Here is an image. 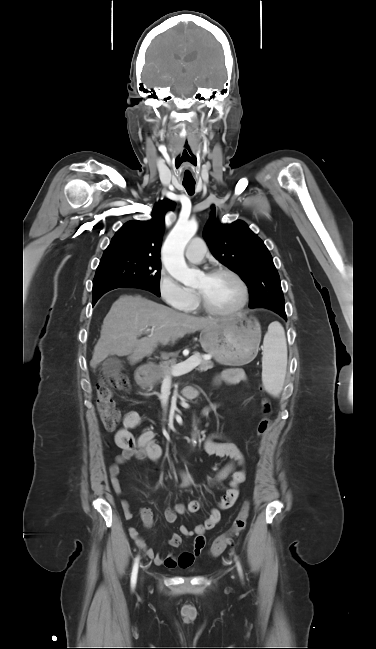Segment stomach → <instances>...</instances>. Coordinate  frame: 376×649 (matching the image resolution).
<instances>
[{
    "mask_svg": "<svg viewBox=\"0 0 376 649\" xmlns=\"http://www.w3.org/2000/svg\"><path fill=\"white\" fill-rule=\"evenodd\" d=\"M260 337L257 321L230 317L204 328L200 333V344L205 352L221 364L243 365L256 357Z\"/></svg>",
    "mask_w": 376,
    "mask_h": 649,
    "instance_id": "1",
    "label": "stomach"
}]
</instances>
